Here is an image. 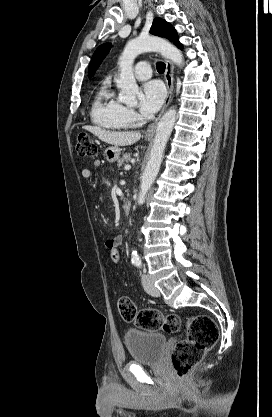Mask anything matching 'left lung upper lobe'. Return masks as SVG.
Returning <instances> with one entry per match:
<instances>
[{"mask_svg":"<svg viewBox=\"0 0 272 417\" xmlns=\"http://www.w3.org/2000/svg\"><path fill=\"white\" fill-rule=\"evenodd\" d=\"M150 33L156 36H161L172 41L178 48H182V44L179 42L178 34L174 27L161 18H155L153 20ZM111 44H103L97 48L89 65V75L93 76L96 69L99 67L100 63L104 57L108 54Z\"/></svg>","mask_w":272,"mask_h":417,"instance_id":"left-lung-upper-lobe-1","label":"left lung upper lobe"}]
</instances>
